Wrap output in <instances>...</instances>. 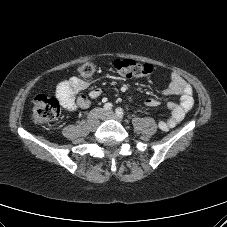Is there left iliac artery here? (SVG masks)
I'll list each match as a JSON object with an SVG mask.
<instances>
[{
    "instance_id": "1",
    "label": "left iliac artery",
    "mask_w": 227,
    "mask_h": 227,
    "mask_svg": "<svg viewBox=\"0 0 227 227\" xmlns=\"http://www.w3.org/2000/svg\"><path fill=\"white\" fill-rule=\"evenodd\" d=\"M116 115L120 118V119H122L123 118V116H124V113H123V109L122 108H117L116 109Z\"/></svg>"
}]
</instances>
